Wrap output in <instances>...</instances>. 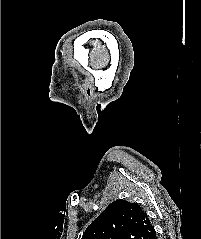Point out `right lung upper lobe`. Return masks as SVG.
Wrapping results in <instances>:
<instances>
[{
	"label": "right lung upper lobe",
	"mask_w": 201,
	"mask_h": 239,
	"mask_svg": "<svg viewBox=\"0 0 201 239\" xmlns=\"http://www.w3.org/2000/svg\"><path fill=\"white\" fill-rule=\"evenodd\" d=\"M82 239H156V231L139 204L120 199L87 227Z\"/></svg>",
	"instance_id": "right-lung-upper-lobe-1"
}]
</instances>
